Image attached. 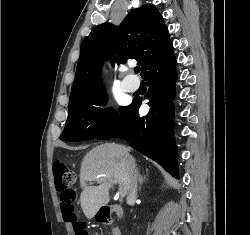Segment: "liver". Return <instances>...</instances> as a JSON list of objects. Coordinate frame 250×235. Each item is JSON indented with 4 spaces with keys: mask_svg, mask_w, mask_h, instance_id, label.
I'll use <instances>...</instances> for the list:
<instances>
[{
    "mask_svg": "<svg viewBox=\"0 0 250 235\" xmlns=\"http://www.w3.org/2000/svg\"><path fill=\"white\" fill-rule=\"evenodd\" d=\"M130 148L113 143L96 146L84 157L80 169L81 207L88 219L110 201V189L118 183L121 190L129 191L130 167L134 164L126 159ZM135 165V164H134ZM87 182H98L99 186H88Z\"/></svg>",
    "mask_w": 250,
    "mask_h": 235,
    "instance_id": "liver-1",
    "label": "liver"
}]
</instances>
